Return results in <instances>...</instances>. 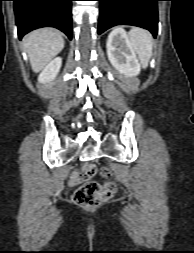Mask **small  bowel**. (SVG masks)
<instances>
[{
    "mask_svg": "<svg viewBox=\"0 0 194 253\" xmlns=\"http://www.w3.org/2000/svg\"><path fill=\"white\" fill-rule=\"evenodd\" d=\"M80 182V177L78 172H73L70 177V185H76Z\"/></svg>",
    "mask_w": 194,
    "mask_h": 253,
    "instance_id": "obj_1",
    "label": "small bowel"
}]
</instances>
